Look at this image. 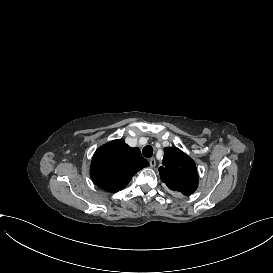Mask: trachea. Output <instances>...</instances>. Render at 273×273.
<instances>
[{
  "label": "trachea",
  "mask_w": 273,
  "mask_h": 273,
  "mask_svg": "<svg viewBox=\"0 0 273 273\" xmlns=\"http://www.w3.org/2000/svg\"><path fill=\"white\" fill-rule=\"evenodd\" d=\"M142 154L146 157V158H150L153 155V147L150 145L145 146L142 149Z\"/></svg>",
  "instance_id": "3493384b"
}]
</instances>
